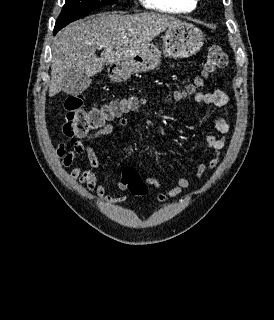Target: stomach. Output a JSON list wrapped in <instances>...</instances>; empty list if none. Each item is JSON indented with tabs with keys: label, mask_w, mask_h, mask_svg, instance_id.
I'll return each mask as SVG.
<instances>
[{
	"label": "stomach",
	"mask_w": 274,
	"mask_h": 320,
	"mask_svg": "<svg viewBox=\"0 0 274 320\" xmlns=\"http://www.w3.org/2000/svg\"><path fill=\"white\" fill-rule=\"evenodd\" d=\"M204 42V36L193 24H177L168 28L162 44V52L169 58H190L200 52ZM162 54L156 46H147L139 50L134 58H129L120 64H111L108 68V76L113 82H123L130 74L150 72L161 64Z\"/></svg>",
	"instance_id": "obj_1"
}]
</instances>
